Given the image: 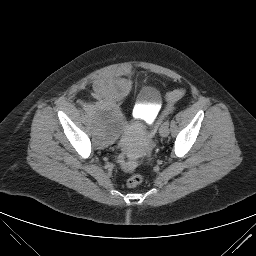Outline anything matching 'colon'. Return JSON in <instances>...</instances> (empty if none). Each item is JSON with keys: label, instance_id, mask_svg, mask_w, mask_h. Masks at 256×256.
<instances>
[{"label": "colon", "instance_id": "5ec220e1", "mask_svg": "<svg viewBox=\"0 0 256 256\" xmlns=\"http://www.w3.org/2000/svg\"><path fill=\"white\" fill-rule=\"evenodd\" d=\"M184 94V88L175 89L167 94V100L169 102H175L181 99L184 96ZM118 163L120 164L121 168L126 172H134L136 169V164L133 161L127 160L124 156L119 157ZM142 181V175L139 173H135L128 178L126 184L129 188H135L138 185H140Z\"/></svg>", "mask_w": 256, "mask_h": 256}]
</instances>
